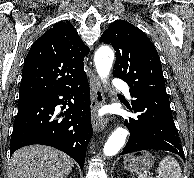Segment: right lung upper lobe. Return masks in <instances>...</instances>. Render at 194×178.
I'll use <instances>...</instances> for the list:
<instances>
[{
  "label": "right lung upper lobe",
  "instance_id": "cb5924a9",
  "mask_svg": "<svg viewBox=\"0 0 194 178\" xmlns=\"http://www.w3.org/2000/svg\"><path fill=\"white\" fill-rule=\"evenodd\" d=\"M88 52L72 24L56 23L33 43L27 54L19 100L73 87L86 80L83 59Z\"/></svg>",
  "mask_w": 194,
  "mask_h": 178
}]
</instances>
